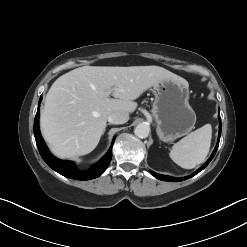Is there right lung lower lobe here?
<instances>
[{"mask_svg":"<svg viewBox=\"0 0 247 247\" xmlns=\"http://www.w3.org/2000/svg\"><path fill=\"white\" fill-rule=\"evenodd\" d=\"M42 97L39 100V104ZM39 109L37 110L35 120H34V135L37 144V148L39 150L40 155L43 160L56 172L61 175L76 179V180H89L100 176L108 167L111 158H112V150L109 149L108 153L91 169L87 171H79L76 169V166L71 161H62L55 158L48 150L45 145L40 131H39Z\"/></svg>","mask_w":247,"mask_h":247,"instance_id":"1","label":"right lung lower lobe"}]
</instances>
